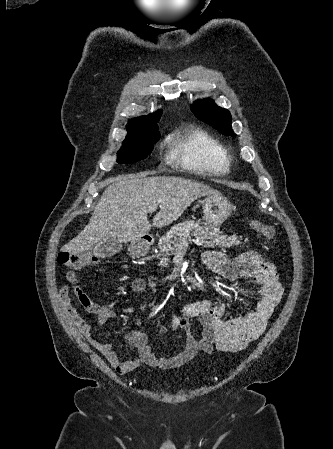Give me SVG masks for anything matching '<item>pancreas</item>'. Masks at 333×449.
I'll list each match as a JSON object with an SVG mask.
<instances>
[{
  "instance_id": "cf45deb5",
  "label": "pancreas",
  "mask_w": 333,
  "mask_h": 449,
  "mask_svg": "<svg viewBox=\"0 0 333 449\" xmlns=\"http://www.w3.org/2000/svg\"><path fill=\"white\" fill-rule=\"evenodd\" d=\"M191 237H195V242L198 245L205 247L219 246V247H231L239 245L242 238L237 235L227 236L224 235L219 229L210 230L207 226H200L199 222L192 220L184 221L177 224L171 230L162 236L159 240L158 247L164 257L170 256L175 252V249L179 244H185ZM168 258H163L161 266H168Z\"/></svg>"
}]
</instances>
